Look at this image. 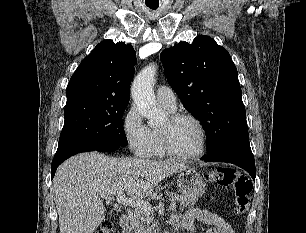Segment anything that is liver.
Here are the masks:
<instances>
[{
    "label": "liver",
    "mask_w": 306,
    "mask_h": 233,
    "mask_svg": "<svg viewBox=\"0 0 306 233\" xmlns=\"http://www.w3.org/2000/svg\"><path fill=\"white\" fill-rule=\"evenodd\" d=\"M186 168L173 160L112 158L97 152L71 157L59 166L52 185L60 233H93L105 219L101 198L126 192L143 199L163 178Z\"/></svg>",
    "instance_id": "1"
}]
</instances>
